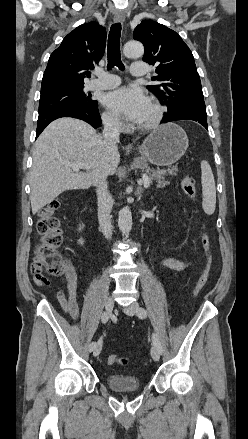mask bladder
<instances>
[{"mask_svg": "<svg viewBox=\"0 0 248 439\" xmlns=\"http://www.w3.org/2000/svg\"><path fill=\"white\" fill-rule=\"evenodd\" d=\"M107 386L117 392H131L141 389L140 380L132 375L111 373L106 376Z\"/></svg>", "mask_w": 248, "mask_h": 439, "instance_id": "obj_1", "label": "bladder"}]
</instances>
